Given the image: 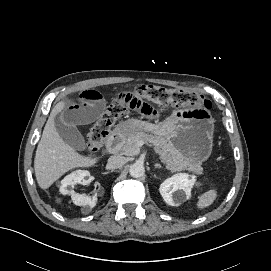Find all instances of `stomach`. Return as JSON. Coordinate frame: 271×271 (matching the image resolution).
Listing matches in <instances>:
<instances>
[{"mask_svg": "<svg viewBox=\"0 0 271 271\" xmlns=\"http://www.w3.org/2000/svg\"><path fill=\"white\" fill-rule=\"evenodd\" d=\"M119 131L127 134L149 131L162 135L189 163H201L212 152L214 120L203 108L175 109L160 123L129 119Z\"/></svg>", "mask_w": 271, "mask_h": 271, "instance_id": "1", "label": "stomach"}]
</instances>
